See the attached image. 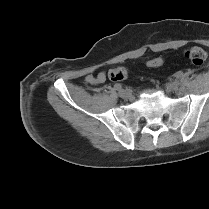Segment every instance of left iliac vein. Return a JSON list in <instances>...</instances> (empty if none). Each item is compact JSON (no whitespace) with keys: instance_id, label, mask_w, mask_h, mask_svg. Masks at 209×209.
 I'll return each instance as SVG.
<instances>
[{"instance_id":"4c4485c4","label":"left iliac vein","mask_w":209,"mask_h":209,"mask_svg":"<svg viewBox=\"0 0 209 209\" xmlns=\"http://www.w3.org/2000/svg\"><path fill=\"white\" fill-rule=\"evenodd\" d=\"M179 86L180 84L177 81L168 84V88L172 91H177L179 89Z\"/></svg>"}]
</instances>
